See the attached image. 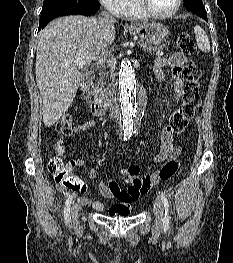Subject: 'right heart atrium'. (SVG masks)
Instances as JSON below:
<instances>
[{
    "label": "right heart atrium",
    "mask_w": 233,
    "mask_h": 263,
    "mask_svg": "<svg viewBox=\"0 0 233 263\" xmlns=\"http://www.w3.org/2000/svg\"><path fill=\"white\" fill-rule=\"evenodd\" d=\"M113 14H119L126 0H99Z\"/></svg>",
    "instance_id": "obj_1"
}]
</instances>
